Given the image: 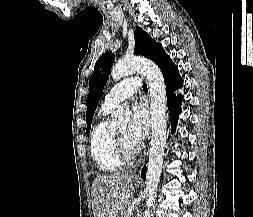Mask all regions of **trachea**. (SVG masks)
<instances>
[{
  "mask_svg": "<svg viewBox=\"0 0 253 217\" xmlns=\"http://www.w3.org/2000/svg\"><path fill=\"white\" fill-rule=\"evenodd\" d=\"M142 87H143L144 90H147V85L146 84H143Z\"/></svg>",
  "mask_w": 253,
  "mask_h": 217,
  "instance_id": "obj_1",
  "label": "trachea"
}]
</instances>
